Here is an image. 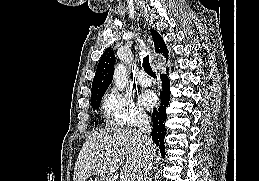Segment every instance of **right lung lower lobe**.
<instances>
[{"instance_id": "obj_1", "label": "right lung lower lobe", "mask_w": 259, "mask_h": 181, "mask_svg": "<svg viewBox=\"0 0 259 181\" xmlns=\"http://www.w3.org/2000/svg\"><path fill=\"white\" fill-rule=\"evenodd\" d=\"M168 74V70H167ZM167 74H161V81L163 90L160 93L161 104L158 109H154L152 113V140L159 147L162 157L165 156L164 137H165V121H166V107L170 98V81Z\"/></svg>"}]
</instances>
